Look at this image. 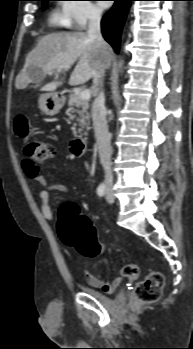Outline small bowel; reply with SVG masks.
<instances>
[{
  "mask_svg": "<svg viewBox=\"0 0 193 349\" xmlns=\"http://www.w3.org/2000/svg\"><path fill=\"white\" fill-rule=\"evenodd\" d=\"M66 166H69L67 163ZM23 168L25 174L35 180L39 185L45 187L47 185L46 177L40 173V168L33 164L24 161ZM53 190L60 193H67V188L62 185H53ZM40 208L45 219L53 220V210L51 205L50 192L47 189H42L39 192ZM138 275V269L136 266H126L122 271L121 275L114 278L113 280L106 281L104 277L93 273L91 271H85L84 276L88 283L92 287L102 288L106 292H112L121 282L123 278L134 279Z\"/></svg>",
  "mask_w": 193,
  "mask_h": 349,
  "instance_id": "c3829d8e",
  "label": "small bowel"
}]
</instances>
